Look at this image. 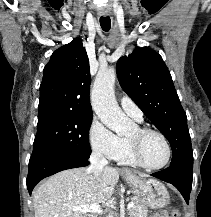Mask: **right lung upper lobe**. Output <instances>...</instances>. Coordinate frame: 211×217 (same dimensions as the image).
I'll return each mask as SVG.
<instances>
[{"label":"right lung upper lobe","mask_w":211,"mask_h":217,"mask_svg":"<svg viewBox=\"0 0 211 217\" xmlns=\"http://www.w3.org/2000/svg\"><path fill=\"white\" fill-rule=\"evenodd\" d=\"M89 60L81 40L57 49L44 68L39 118L52 114L92 115Z\"/></svg>","instance_id":"right-lung-upper-lobe-1"}]
</instances>
